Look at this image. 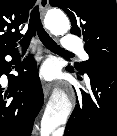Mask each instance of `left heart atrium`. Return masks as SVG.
Instances as JSON below:
<instances>
[{
    "label": "left heart atrium",
    "instance_id": "left-heart-atrium-1",
    "mask_svg": "<svg viewBox=\"0 0 117 136\" xmlns=\"http://www.w3.org/2000/svg\"><path fill=\"white\" fill-rule=\"evenodd\" d=\"M40 75L45 80H52L55 76V67L52 63L46 62L40 68Z\"/></svg>",
    "mask_w": 117,
    "mask_h": 136
}]
</instances>
